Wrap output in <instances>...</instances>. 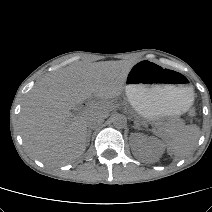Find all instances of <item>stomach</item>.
Segmentation results:
<instances>
[{
  "label": "stomach",
  "mask_w": 212,
  "mask_h": 212,
  "mask_svg": "<svg viewBox=\"0 0 212 212\" xmlns=\"http://www.w3.org/2000/svg\"><path fill=\"white\" fill-rule=\"evenodd\" d=\"M125 92L135 111L149 120L181 114L193 102V89L183 76L147 60L131 67Z\"/></svg>",
  "instance_id": "0dacf381"
}]
</instances>
